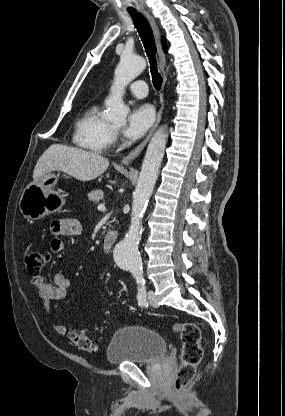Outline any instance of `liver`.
I'll list each match as a JSON object with an SVG mask.
<instances>
[{"label": "liver", "mask_w": 285, "mask_h": 416, "mask_svg": "<svg viewBox=\"0 0 285 416\" xmlns=\"http://www.w3.org/2000/svg\"><path fill=\"white\" fill-rule=\"evenodd\" d=\"M108 166L109 160L100 154L62 144H52L39 158L34 168L33 180L38 182L39 178L49 172H65L80 182H90L104 174Z\"/></svg>", "instance_id": "liver-1"}]
</instances>
